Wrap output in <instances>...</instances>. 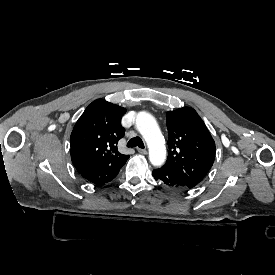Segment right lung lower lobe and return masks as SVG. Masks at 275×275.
<instances>
[{"mask_svg":"<svg viewBox=\"0 0 275 275\" xmlns=\"http://www.w3.org/2000/svg\"><path fill=\"white\" fill-rule=\"evenodd\" d=\"M120 168L121 167L116 166H103L100 168L82 172L80 174L86 180L94 184L101 185L113 180L117 176Z\"/></svg>","mask_w":275,"mask_h":275,"instance_id":"98d812e1","label":"right lung lower lobe"}]
</instances>
